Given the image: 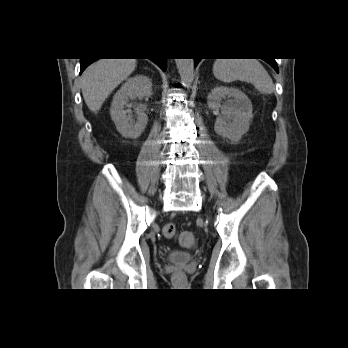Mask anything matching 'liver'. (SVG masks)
Wrapping results in <instances>:
<instances>
[{
  "label": "liver",
  "mask_w": 348,
  "mask_h": 348,
  "mask_svg": "<svg viewBox=\"0 0 348 348\" xmlns=\"http://www.w3.org/2000/svg\"><path fill=\"white\" fill-rule=\"evenodd\" d=\"M136 67V59H99L91 64L81 76V89L86 105L98 112L112 91Z\"/></svg>",
  "instance_id": "obj_1"
}]
</instances>
